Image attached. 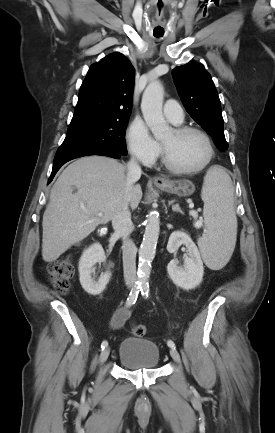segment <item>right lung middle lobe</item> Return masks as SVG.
<instances>
[{
    "mask_svg": "<svg viewBox=\"0 0 275 433\" xmlns=\"http://www.w3.org/2000/svg\"><path fill=\"white\" fill-rule=\"evenodd\" d=\"M129 118L110 119L89 117L72 119L67 136L56 152L55 158L107 150L127 154L124 133Z\"/></svg>",
    "mask_w": 275,
    "mask_h": 433,
    "instance_id": "obj_1",
    "label": "right lung middle lobe"
}]
</instances>
